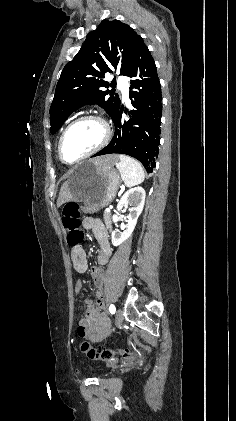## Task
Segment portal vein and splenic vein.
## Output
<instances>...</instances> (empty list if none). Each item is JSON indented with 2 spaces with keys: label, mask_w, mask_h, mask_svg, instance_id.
Returning <instances> with one entry per match:
<instances>
[{
  "label": "portal vein and splenic vein",
  "mask_w": 236,
  "mask_h": 421,
  "mask_svg": "<svg viewBox=\"0 0 236 421\" xmlns=\"http://www.w3.org/2000/svg\"><path fill=\"white\" fill-rule=\"evenodd\" d=\"M106 213H110V208H105Z\"/></svg>",
  "instance_id": "18ae733b"
}]
</instances>
